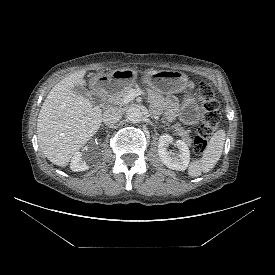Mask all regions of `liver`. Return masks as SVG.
<instances>
[{
    "mask_svg": "<svg viewBox=\"0 0 275 275\" xmlns=\"http://www.w3.org/2000/svg\"><path fill=\"white\" fill-rule=\"evenodd\" d=\"M85 74V70H80L58 82L38 115L39 146L49 161L61 167L68 165L102 123L101 109L72 90L74 85H86Z\"/></svg>",
    "mask_w": 275,
    "mask_h": 275,
    "instance_id": "6515ba94",
    "label": "liver"
}]
</instances>
